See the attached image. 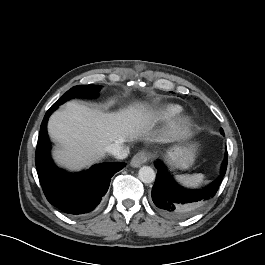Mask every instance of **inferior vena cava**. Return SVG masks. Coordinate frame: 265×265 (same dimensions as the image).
I'll return each instance as SVG.
<instances>
[{"mask_svg":"<svg viewBox=\"0 0 265 265\" xmlns=\"http://www.w3.org/2000/svg\"><path fill=\"white\" fill-rule=\"evenodd\" d=\"M124 140L116 141L105 148V151L118 159H124L129 153V148L123 146Z\"/></svg>","mask_w":265,"mask_h":265,"instance_id":"inferior-vena-cava-1","label":"inferior vena cava"}]
</instances>
